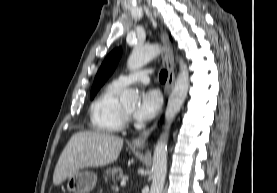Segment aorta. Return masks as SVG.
Masks as SVG:
<instances>
[{
    "label": "aorta",
    "mask_w": 277,
    "mask_h": 193,
    "mask_svg": "<svg viewBox=\"0 0 277 193\" xmlns=\"http://www.w3.org/2000/svg\"><path fill=\"white\" fill-rule=\"evenodd\" d=\"M162 47L159 45H148L145 47H135L130 54L127 67L129 70H137L149 61L159 55L162 51ZM189 88V73L186 64L183 60L180 61V72L175 81V86L168 99L167 108L165 112V131L160 136L156 143L153 155L152 166V185L150 193H161L165 182L167 173V137L168 129L180 111L182 104L187 96ZM138 99V93L133 89H125L120 96V101L123 103H136Z\"/></svg>",
    "instance_id": "obj_1"
}]
</instances>
